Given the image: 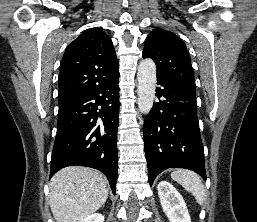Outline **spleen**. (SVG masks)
<instances>
[{
    "label": "spleen",
    "instance_id": "3e777b00",
    "mask_svg": "<svg viewBox=\"0 0 257 222\" xmlns=\"http://www.w3.org/2000/svg\"><path fill=\"white\" fill-rule=\"evenodd\" d=\"M171 177L187 191L191 192L199 205L204 203L205 188L200 177L196 173L188 170H176L172 172Z\"/></svg>",
    "mask_w": 257,
    "mask_h": 222
}]
</instances>
